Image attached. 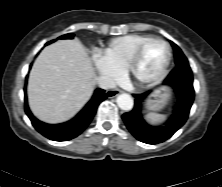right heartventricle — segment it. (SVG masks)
Segmentation results:
<instances>
[{
    "label": "right heart ventricle",
    "instance_id": "right-heart-ventricle-1",
    "mask_svg": "<svg viewBox=\"0 0 222 187\" xmlns=\"http://www.w3.org/2000/svg\"><path fill=\"white\" fill-rule=\"evenodd\" d=\"M150 36L130 34L110 40L102 49V57L119 71H124L135 49Z\"/></svg>",
    "mask_w": 222,
    "mask_h": 187
}]
</instances>
